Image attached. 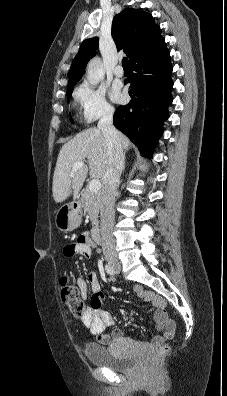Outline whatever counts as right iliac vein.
I'll return each mask as SVG.
<instances>
[{
	"instance_id": "1",
	"label": "right iliac vein",
	"mask_w": 227,
	"mask_h": 396,
	"mask_svg": "<svg viewBox=\"0 0 227 396\" xmlns=\"http://www.w3.org/2000/svg\"><path fill=\"white\" fill-rule=\"evenodd\" d=\"M110 264L112 265V267H116L118 264L116 262L111 261Z\"/></svg>"
}]
</instances>
